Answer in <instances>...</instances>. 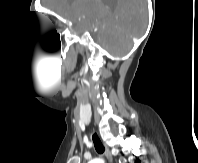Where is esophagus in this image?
<instances>
[{
    "mask_svg": "<svg viewBox=\"0 0 198 163\" xmlns=\"http://www.w3.org/2000/svg\"><path fill=\"white\" fill-rule=\"evenodd\" d=\"M104 147H105V156L107 158V160L112 163V155H111V152L109 150V148L104 144Z\"/></svg>",
    "mask_w": 198,
    "mask_h": 163,
    "instance_id": "esophagus-1",
    "label": "esophagus"
}]
</instances>
